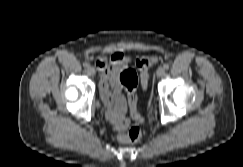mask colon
<instances>
[{
	"label": "colon",
	"instance_id": "5ec220e1",
	"mask_svg": "<svg viewBox=\"0 0 243 167\" xmlns=\"http://www.w3.org/2000/svg\"><path fill=\"white\" fill-rule=\"evenodd\" d=\"M156 56L141 57L136 60V67L139 71L141 83L146 88L148 83V69L157 63ZM120 83L125 88L128 100L131 106H136V87L138 84L137 72L132 68L124 69L119 76ZM141 120L139 115H135ZM120 131L118 134V140L122 143H136L142 137V132L137 125H130L128 121L124 120L118 127Z\"/></svg>",
	"mask_w": 243,
	"mask_h": 167
}]
</instances>
